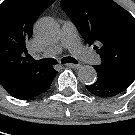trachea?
<instances>
[{
    "label": "trachea",
    "instance_id": "trachea-1",
    "mask_svg": "<svg viewBox=\"0 0 135 135\" xmlns=\"http://www.w3.org/2000/svg\"><path fill=\"white\" fill-rule=\"evenodd\" d=\"M30 61L39 67L52 66L57 63V61L53 58L41 59L39 61H36L31 58ZM61 63H77V60L74 59L73 57H64V58H62Z\"/></svg>",
    "mask_w": 135,
    "mask_h": 135
}]
</instances>
